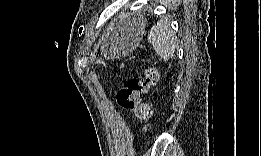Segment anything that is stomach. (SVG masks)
<instances>
[{
    "label": "stomach",
    "mask_w": 261,
    "mask_h": 156,
    "mask_svg": "<svg viewBox=\"0 0 261 156\" xmlns=\"http://www.w3.org/2000/svg\"><path fill=\"white\" fill-rule=\"evenodd\" d=\"M144 26V21H135L121 35L116 34L112 37L107 44V46L110 45V55L119 57L135 49L144 35Z\"/></svg>",
    "instance_id": "1"
}]
</instances>
